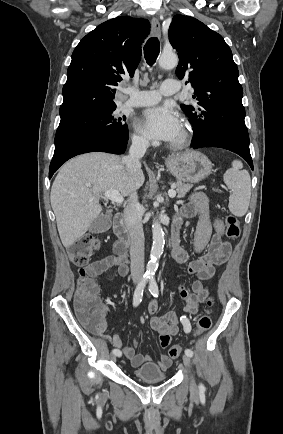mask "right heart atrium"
Listing matches in <instances>:
<instances>
[{
	"instance_id": "obj_1",
	"label": "right heart atrium",
	"mask_w": 283,
	"mask_h": 434,
	"mask_svg": "<svg viewBox=\"0 0 283 434\" xmlns=\"http://www.w3.org/2000/svg\"><path fill=\"white\" fill-rule=\"evenodd\" d=\"M132 142L137 147H146L148 145V140L144 136L137 133L133 134Z\"/></svg>"
}]
</instances>
